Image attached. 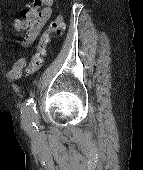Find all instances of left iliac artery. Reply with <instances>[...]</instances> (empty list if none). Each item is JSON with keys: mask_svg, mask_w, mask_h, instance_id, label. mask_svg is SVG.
<instances>
[{"mask_svg": "<svg viewBox=\"0 0 143 170\" xmlns=\"http://www.w3.org/2000/svg\"><path fill=\"white\" fill-rule=\"evenodd\" d=\"M26 106H27L26 117L30 121V126L32 127V129L38 130V126H37L38 113L36 110V103L33 95H31L28 98L26 102Z\"/></svg>", "mask_w": 143, "mask_h": 170, "instance_id": "obj_1", "label": "left iliac artery"}]
</instances>
